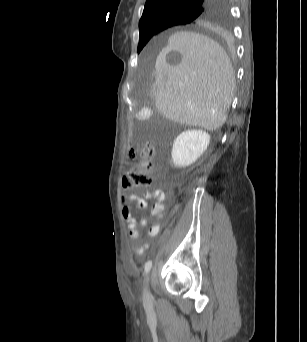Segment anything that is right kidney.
Masks as SVG:
<instances>
[{"mask_svg":"<svg viewBox=\"0 0 307 342\" xmlns=\"http://www.w3.org/2000/svg\"><path fill=\"white\" fill-rule=\"evenodd\" d=\"M210 136L203 130H186L177 136L172 148L175 168H187L194 164L209 146Z\"/></svg>","mask_w":307,"mask_h":342,"instance_id":"1","label":"right kidney"}]
</instances>
